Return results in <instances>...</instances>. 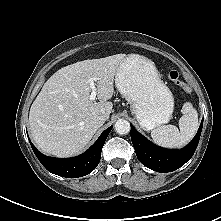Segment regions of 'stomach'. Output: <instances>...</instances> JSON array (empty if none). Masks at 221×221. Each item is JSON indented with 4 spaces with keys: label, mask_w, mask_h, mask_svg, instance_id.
<instances>
[{
    "label": "stomach",
    "mask_w": 221,
    "mask_h": 221,
    "mask_svg": "<svg viewBox=\"0 0 221 221\" xmlns=\"http://www.w3.org/2000/svg\"><path fill=\"white\" fill-rule=\"evenodd\" d=\"M115 84L144 130L170 121L174 98L153 61L138 54L126 56L116 71Z\"/></svg>",
    "instance_id": "1"
}]
</instances>
